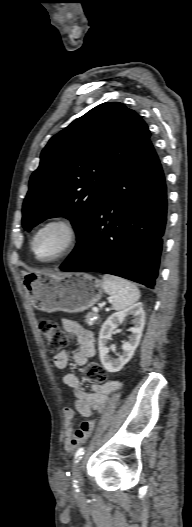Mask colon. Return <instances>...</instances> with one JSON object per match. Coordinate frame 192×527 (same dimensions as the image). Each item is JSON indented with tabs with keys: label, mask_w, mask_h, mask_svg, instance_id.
<instances>
[{
	"label": "colon",
	"mask_w": 192,
	"mask_h": 527,
	"mask_svg": "<svg viewBox=\"0 0 192 527\" xmlns=\"http://www.w3.org/2000/svg\"><path fill=\"white\" fill-rule=\"evenodd\" d=\"M40 330L47 346L51 352H59L67 347L72 341V334L62 330L59 325L51 320H42ZM87 378L94 384L100 385L106 382V372L96 361H91L86 367Z\"/></svg>",
	"instance_id": "5ec220e1"
}]
</instances>
